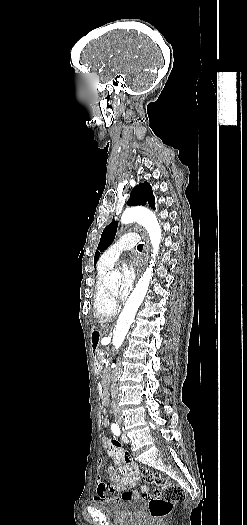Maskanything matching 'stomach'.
Masks as SVG:
<instances>
[{
	"instance_id": "1",
	"label": "stomach",
	"mask_w": 247,
	"mask_h": 525,
	"mask_svg": "<svg viewBox=\"0 0 247 525\" xmlns=\"http://www.w3.org/2000/svg\"><path fill=\"white\" fill-rule=\"evenodd\" d=\"M101 334L99 331L95 330L93 333H92V336H91V341L94 345V348L95 346L97 345L98 341H99V338H100Z\"/></svg>"
}]
</instances>
